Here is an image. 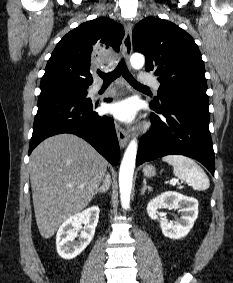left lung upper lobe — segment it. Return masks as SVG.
<instances>
[{
	"label": "left lung upper lobe",
	"instance_id": "obj_1",
	"mask_svg": "<svg viewBox=\"0 0 233 283\" xmlns=\"http://www.w3.org/2000/svg\"><path fill=\"white\" fill-rule=\"evenodd\" d=\"M132 35L134 50L145 55L146 71L158 76L160 100L182 90L206 93L201 53L183 29L170 21L147 17L135 26Z\"/></svg>",
	"mask_w": 233,
	"mask_h": 283
}]
</instances>
